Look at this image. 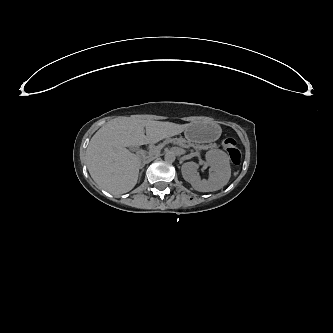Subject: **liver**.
<instances>
[{
	"label": "liver",
	"instance_id": "6515ba94",
	"mask_svg": "<svg viewBox=\"0 0 333 333\" xmlns=\"http://www.w3.org/2000/svg\"><path fill=\"white\" fill-rule=\"evenodd\" d=\"M162 136L144 134L115 137L99 133L93 137L86 150L89 173L93 180L109 192H127L137 183L141 160L127 148L155 143Z\"/></svg>",
	"mask_w": 333,
	"mask_h": 333
}]
</instances>
